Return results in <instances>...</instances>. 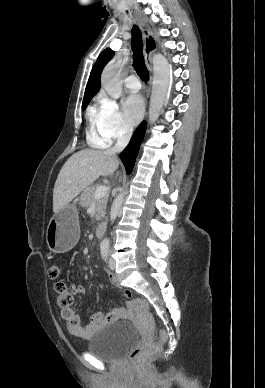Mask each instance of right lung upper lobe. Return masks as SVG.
Here are the masks:
<instances>
[{
    "instance_id": "right-lung-upper-lobe-1",
    "label": "right lung upper lobe",
    "mask_w": 265,
    "mask_h": 388,
    "mask_svg": "<svg viewBox=\"0 0 265 388\" xmlns=\"http://www.w3.org/2000/svg\"><path fill=\"white\" fill-rule=\"evenodd\" d=\"M114 56V51L110 48L105 49L98 57L96 63L94 64L90 77L86 86L83 105L90 102L93 96L100 89V76L105 65L111 60Z\"/></svg>"
}]
</instances>
